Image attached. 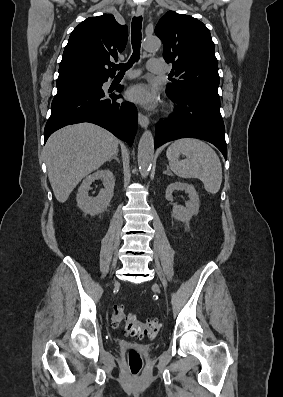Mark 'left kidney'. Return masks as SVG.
<instances>
[{"label":"left kidney","instance_id":"obj_1","mask_svg":"<svg viewBox=\"0 0 283 397\" xmlns=\"http://www.w3.org/2000/svg\"><path fill=\"white\" fill-rule=\"evenodd\" d=\"M177 190H184L189 195V201L186 206L174 205L172 210V216L182 222L188 223L193 215L199 211V197L193 185L181 182L171 183L167 186L165 192V198L168 201H173V192Z\"/></svg>","mask_w":283,"mask_h":397}]
</instances>
